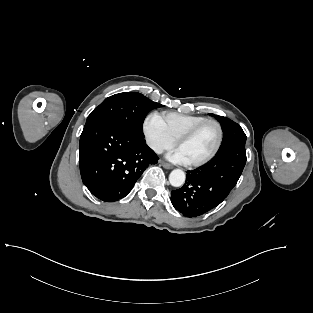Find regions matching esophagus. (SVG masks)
I'll return each instance as SVG.
<instances>
[{
    "instance_id": "obj_1",
    "label": "esophagus",
    "mask_w": 313,
    "mask_h": 313,
    "mask_svg": "<svg viewBox=\"0 0 313 313\" xmlns=\"http://www.w3.org/2000/svg\"><path fill=\"white\" fill-rule=\"evenodd\" d=\"M161 165L165 168V169H172L173 166L169 163H166L164 161L161 162Z\"/></svg>"
}]
</instances>
